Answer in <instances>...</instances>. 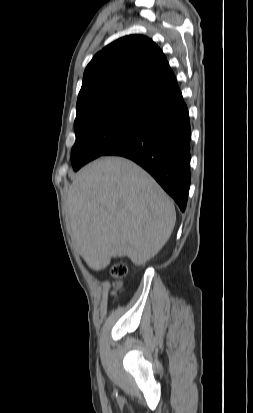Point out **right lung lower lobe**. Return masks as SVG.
Segmentation results:
<instances>
[{"instance_id":"1","label":"right lung lower lobe","mask_w":253,"mask_h":413,"mask_svg":"<svg viewBox=\"0 0 253 413\" xmlns=\"http://www.w3.org/2000/svg\"><path fill=\"white\" fill-rule=\"evenodd\" d=\"M190 139L189 113L182 102L156 111L143 129L104 155L139 164L184 211L190 187Z\"/></svg>"}]
</instances>
